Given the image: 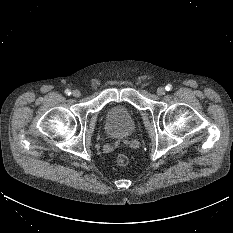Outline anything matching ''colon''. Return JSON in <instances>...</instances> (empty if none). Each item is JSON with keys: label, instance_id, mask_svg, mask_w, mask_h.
Masks as SVG:
<instances>
[{"label": "colon", "instance_id": "obj_1", "mask_svg": "<svg viewBox=\"0 0 233 233\" xmlns=\"http://www.w3.org/2000/svg\"><path fill=\"white\" fill-rule=\"evenodd\" d=\"M116 162L119 166H126L129 164L130 159L126 154H120L117 156Z\"/></svg>", "mask_w": 233, "mask_h": 233}]
</instances>
